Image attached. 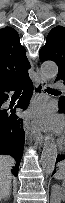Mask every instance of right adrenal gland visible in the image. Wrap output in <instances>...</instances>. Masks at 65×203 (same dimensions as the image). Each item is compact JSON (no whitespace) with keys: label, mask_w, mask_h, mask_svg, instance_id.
Returning <instances> with one entry per match:
<instances>
[{"label":"right adrenal gland","mask_w":65,"mask_h":203,"mask_svg":"<svg viewBox=\"0 0 65 203\" xmlns=\"http://www.w3.org/2000/svg\"><path fill=\"white\" fill-rule=\"evenodd\" d=\"M10 195H11V193H9L8 196H6V197L4 198V201L9 200V199H10Z\"/></svg>","instance_id":"obj_1"}]
</instances>
